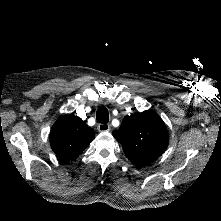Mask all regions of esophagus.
<instances>
[{
  "label": "esophagus",
  "instance_id": "34e87169",
  "mask_svg": "<svg viewBox=\"0 0 221 221\" xmlns=\"http://www.w3.org/2000/svg\"><path fill=\"white\" fill-rule=\"evenodd\" d=\"M98 131L99 132H108L110 131V125L109 124H98Z\"/></svg>",
  "mask_w": 221,
  "mask_h": 221
}]
</instances>
